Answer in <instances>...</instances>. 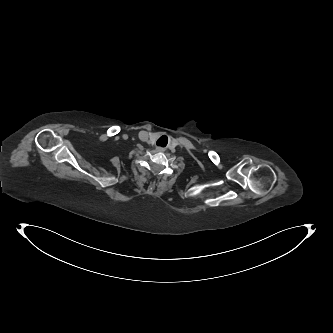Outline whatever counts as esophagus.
Wrapping results in <instances>:
<instances>
[{"mask_svg": "<svg viewBox=\"0 0 333 333\" xmlns=\"http://www.w3.org/2000/svg\"><path fill=\"white\" fill-rule=\"evenodd\" d=\"M158 151H162V148H157Z\"/></svg>", "mask_w": 333, "mask_h": 333, "instance_id": "esophagus-1", "label": "esophagus"}]
</instances>
